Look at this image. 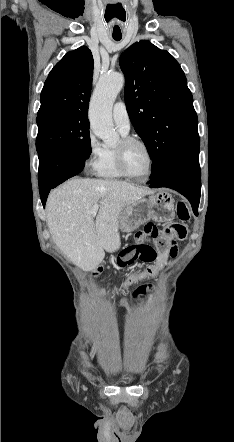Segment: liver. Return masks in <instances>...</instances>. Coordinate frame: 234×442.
<instances>
[{
    "label": "liver",
    "mask_w": 234,
    "mask_h": 442,
    "mask_svg": "<svg viewBox=\"0 0 234 442\" xmlns=\"http://www.w3.org/2000/svg\"><path fill=\"white\" fill-rule=\"evenodd\" d=\"M152 192L122 181L69 180L52 190L47 200L51 236L73 264L93 271L102 263L105 251L120 248L118 220L122 209ZM95 204L100 206L97 215L90 213Z\"/></svg>",
    "instance_id": "obj_1"
}]
</instances>
